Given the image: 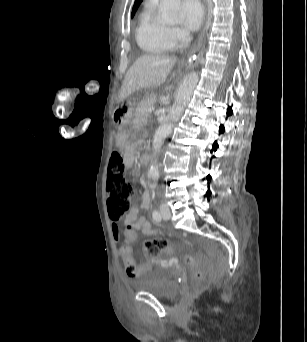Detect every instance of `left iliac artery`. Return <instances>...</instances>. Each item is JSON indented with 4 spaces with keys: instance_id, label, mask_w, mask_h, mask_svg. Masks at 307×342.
Instances as JSON below:
<instances>
[{
    "instance_id": "44dca946",
    "label": "left iliac artery",
    "mask_w": 307,
    "mask_h": 342,
    "mask_svg": "<svg viewBox=\"0 0 307 342\" xmlns=\"http://www.w3.org/2000/svg\"><path fill=\"white\" fill-rule=\"evenodd\" d=\"M152 216H153V219L156 220V221H160L161 220V215H160V213L157 210L153 211Z\"/></svg>"
}]
</instances>
